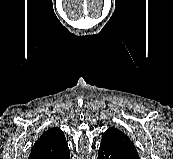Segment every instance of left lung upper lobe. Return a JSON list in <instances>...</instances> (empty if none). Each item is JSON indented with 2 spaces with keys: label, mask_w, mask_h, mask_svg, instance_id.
<instances>
[{
  "label": "left lung upper lobe",
  "mask_w": 173,
  "mask_h": 159,
  "mask_svg": "<svg viewBox=\"0 0 173 159\" xmlns=\"http://www.w3.org/2000/svg\"><path fill=\"white\" fill-rule=\"evenodd\" d=\"M101 144H105L120 153L139 159L136 147L130 138L115 127H110L103 133Z\"/></svg>",
  "instance_id": "1"
}]
</instances>
